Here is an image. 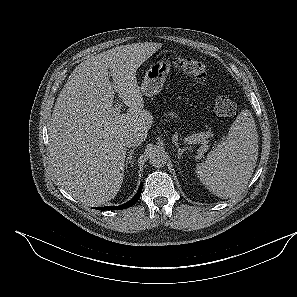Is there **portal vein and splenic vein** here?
<instances>
[{"mask_svg": "<svg viewBox=\"0 0 297 297\" xmlns=\"http://www.w3.org/2000/svg\"><path fill=\"white\" fill-rule=\"evenodd\" d=\"M121 103L119 101L116 102V104L114 105V112L116 114H119L121 111ZM186 141L188 142V144H193L192 139L188 138L186 139ZM208 150V146L207 145H203L198 149V155L202 156L204 154V152H206Z\"/></svg>", "mask_w": 297, "mask_h": 297, "instance_id": "1", "label": "portal vein and splenic vein"}]
</instances>
